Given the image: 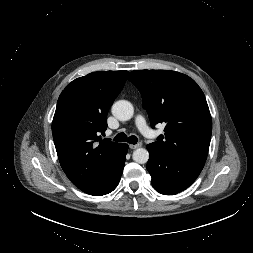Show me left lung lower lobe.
<instances>
[{
	"label": "left lung lower lobe",
	"instance_id": "1",
	"mask_svg": "<svg viewBox=\"0 0 253 253\" xmlns=\"http://www.w3.org/2000/svg\"><path fill=\"white\" fill-rule=\"evenodd\" d=\"M150 158L147 163L156 191L174 195L188 188L199 176L201 170L176 161L161 152L154 143L148 144Z\"/></svg>",
	"mask_w": 253,
	"mask_h": 253
}]
</instances>
